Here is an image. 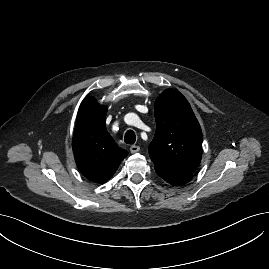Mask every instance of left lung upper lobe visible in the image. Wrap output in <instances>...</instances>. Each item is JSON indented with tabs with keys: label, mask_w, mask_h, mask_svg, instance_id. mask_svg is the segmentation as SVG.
<instances>
[{
	"label": "left lung upper lobe",
	"mask_w": 269,
	"mask_h": 269,
	"mask_svg": "<svg viewBox=\"0 0 269 269\" xmlns=\"http://www.w3.org/2000/svg\"><path fill=\"white\" fill-rule=\"evenodd\" d=\"M156 133L149 145L155 170L193 174L202 157V131L186 98L165 90L155 101Z\"/></svg>",
	"instance_id": "5c2ea615"
}]
</instances>
